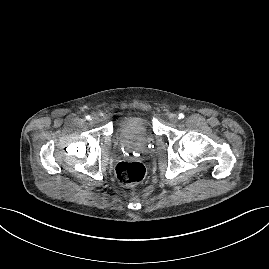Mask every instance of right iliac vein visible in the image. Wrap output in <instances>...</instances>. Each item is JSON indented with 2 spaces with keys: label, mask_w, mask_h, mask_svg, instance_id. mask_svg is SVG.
Returning <instances> with one entry per match:
<instances>
[{
  "label": "right iliac vein",
  "mask_w": 269,
  "mask_h": 269,
  "mask_svg": "<svg viewBox=\"0 0 269 269\" xmlns=\"http://www.w3.org/2000/svg\"><path fill=\"white\" fill-rule=\"evenodd\" d=\"M92 123L96 124L100 121L99 117L98 116H93L92 119H91Z\"/></svg>",
  "instance_id": "63e3f726"
}]
</instances>
